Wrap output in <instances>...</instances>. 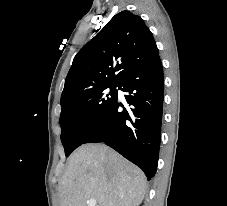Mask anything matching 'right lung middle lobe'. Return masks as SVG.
<instances>
[{"label": "right lung middle lobe", "instance_id": "dd1d6c3e", "mask_svg": "<svg viewBox=\"0 0 227 206\" xmlns=\"http://www.w3.org/2000/svg\"><path fill=\"white\" fill-rule=\"evenodd\" d=\"M119 84L91 88L61 100V141L69 156L85 140L117 100Z\"/></svg>", "mask_w": 227, "mask_h": 206}]
</instances>
